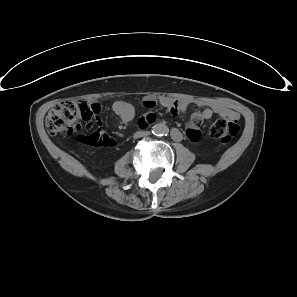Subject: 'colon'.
Segmentation results:
<instances>
[{
	"label": "colon",
	"instance_id": "colon-1",
	"mask_svg": "<svg viewBox=\"0 0 297 297\" xmlns=\"http://www.w3.org/2000/svg\"><path fill=\"white\" fill-rule=\"evenodd\" d=\"M100 106L81 100H69L57 104L47 115L46 128L51 135H71L82 126L93 128L99 122ZM236 117H221L209 128V135L221 143L229 142L239 132ZM201 137V134H200ZM80 141L97 147H111L115 141L109 135L97 129Z\"/></svg>",
	"mask_w": 297,
	"mask_h": 297
}]
</instances>
